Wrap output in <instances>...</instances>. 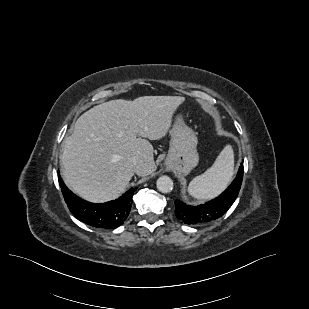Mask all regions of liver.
<instances>
[{
    "label": "liver",
    "mask_w": 309,
    "mask_h": 309,
    "mask_svg": "<svg viewBox=\"0 0 309 309\" xmlns=\"http://www.w3.org/2000/svg\"><path fill=\"white\" fill-rule=\"evenodd\" d=\"M185 99L180 96H143L117 99L94 106L76 121L64 140L60 156L66 185L94 203L114 200L134 175L131 162L141 163L138 176L156 170L153 146L171 126L172 116Z\"/></svg>",
    "instance_id": "1"
}]
</instances>
